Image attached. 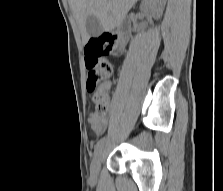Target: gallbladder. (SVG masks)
Segmentation results:
<instances>
[{
    "label": "gallbladder",
    "instance_id": "obj_1",
    "mask_svg": "<svg viewBox=\"0 0 223 191\" xmlns=\"http://www.w3.org/2000/svg\"><path fill=\"white\" fill-rule=\"evenodd\" d=\"M86 30L90 37H97L102 33L103 27L98 18L92 15L86 20Z\"/></svg>",
    "mask_w": 223,
    "mask_h": 191
}]
</instances>
